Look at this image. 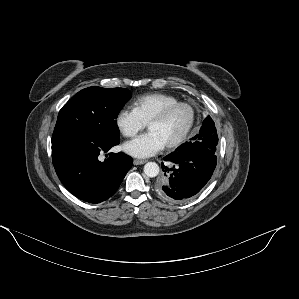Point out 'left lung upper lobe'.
<instances>
[{"label":"left lung upper lobe","instance_id":"obj_1","mask_svg":"<svg viewBox=\"0 0 299 299\" xmlns=\"http://www.w3.org/2000/svg\"><path fill=\"white\" fill-rule=\"evenodd\" d=\"M203 136H205L206 138H209V142L212 143L213 154H216V146L218 143V136H217L215 124L210 116L205 118V120L203 121V125L199 131V134H197L191 140H200L201 137H203ZM180 147L181 146H179L176 150L180 149Z\"/></svg>","mask_w":299,"mask_h":299}]
</instances>
